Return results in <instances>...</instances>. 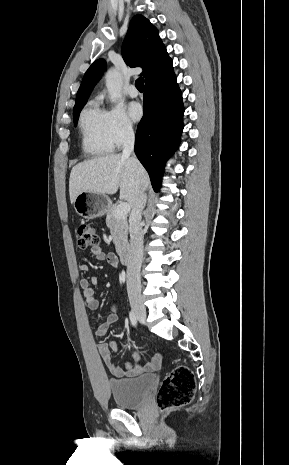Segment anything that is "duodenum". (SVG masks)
<instances>
[{
  "instance_id": "obj_1",
  "label": "duodenum",
  "mask_w": 289,
  "mask_h": 465,
  "mask_svg": "<svg viewBox=\"0 0 289 465\" xmlns=\"http://www.w3.org/2000/svg\"><path fill=\"white\" fill-rule=\"evenodd\" d=\"M120 260L122 264L128 265L131 261V251L128 247H124L120 251Z\"/></svg>"
}]
</instances>
